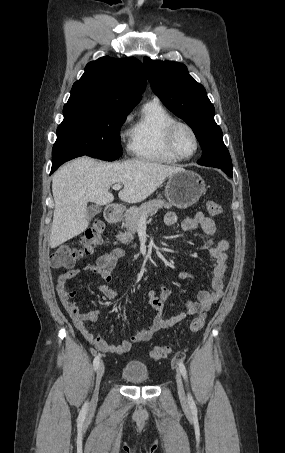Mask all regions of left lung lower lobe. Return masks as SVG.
I'll return each mask as SVG.
<instances>
[{"instance_id": "obj_1", "label": "left lung lower lobe", "mask_w": 285, "mask_h": 453, "mask_svg": "<svg viewBox=\"0 0 285 453\" xmlns=\"http://www.w3.org/2000/svg\"><path fill=\"white\" fill-rule=\"evenodd\" d=\"M226 173V172H225ZM228 176L232 177V172H227L226 173Z\"/></svg>"}]
</instances>
